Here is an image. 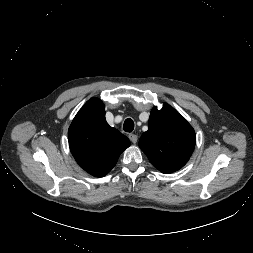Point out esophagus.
<instances>
[{"instance_id":"obj_1","label":"esophagus","mask_w":253,"mask_h":253,"mask_svg":"<svg viewBox=\"0 0 253 253\" xmlns=\"http://www.w3.org/2000/svg\"><path fill=\"white\" fill-rule=\"evenodd\" d=\"M129 139H130V141L133 143V144H136L137 143V141H138V136L136 135V134H129Z\"/></svg>"}]
</instances>
